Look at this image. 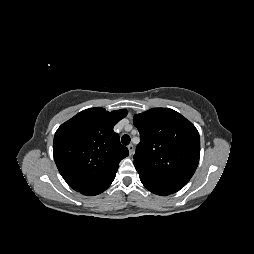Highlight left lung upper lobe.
Listing matches in <instances>:
<instances>
[{
    "label": "left lung upper lobe",
    "instance_id": "5c2ea615",
    "mask_svg": "<svg viewBox=\"0 0 254 254\" xmlns=\"http://www.w3.org/2000/svg\"><path fill=\"white\" fill-rule=\"evenodd\" d=\"M133 123L141 137L134 155L136 170L187 184L200 156V137L195 126L169 108L136 114Z\"/></svg>",
    "mask_w": 254,
    "mask_h": 254
}]
</instances>
